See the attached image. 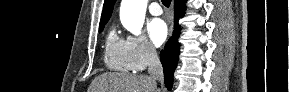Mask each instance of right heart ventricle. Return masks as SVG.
Listing matches in <instances>:
<instances>
[{"label":"right heart ventricle","mask_w":289,"mask_h":92,"mask_svg":"<svg viewBox=\"0 0 289 92\" xmlns=\"http://www.w3.org/2000/svg\"><path fill=\"white\" fill-rule=\"evenodd\" d=\"M104 58L106 65L112 70L120 72L132 70L127 59L125 41L117 36L114 29L107 34Z\"/></svg>","instance_id":"obj_1"}]
</instances>
